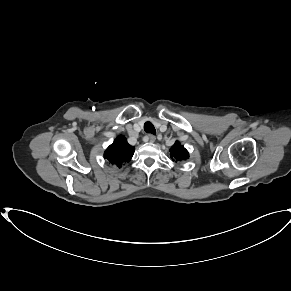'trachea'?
<instances>
[{
    "mask_svg": "<svg viewBox=\"0 0 291 291\" xmlns=\"http://www.w3.org/2000/svg\"><path fill=\"white\" fill-rule=\"evenodd\" d=\"M144 130L146 133H151L153 135H156V130L151 122H146L144 124Z\"/></svg>",
    "mask_w": 291,
    "mask_h": 291,
    "instance_id": "trachea-1",
    "label": "trachea"
}]
</instances>
